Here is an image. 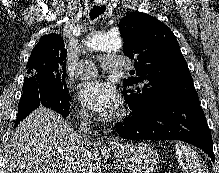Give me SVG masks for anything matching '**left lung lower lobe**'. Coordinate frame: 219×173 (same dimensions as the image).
Returning <instances> with one entry per match:
<instances>
[{"label":"left lung lower lobe","instance_id":"0a47b994","mask_svg":"<svg viewBox=\"0 0 219 173\" xmlns=\"http://www.w3.org/2000/svg\"><path fill=\"white\" fill-rule=\"evenodd\" d=\"M118 134L130 140H181L205 151L214 162L212 136L199 98L171 102L150 111H132L116 124Z\"/></svg>","mask_w":219,"mask_h":173}]
</instances>
